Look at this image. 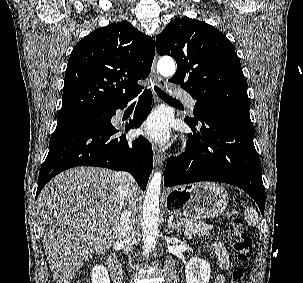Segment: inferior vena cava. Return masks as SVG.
<instances>
[{
  "mask_svg": "<svg viewBox=\"0 0 303 283\" xmlns=\"http://www.w3.org/2000/svg\"><path fill=\"white\" fill-rule=\"evenodd\" d=\"M119 195L122 205V213L118 224V238L126 244L128 252H131V241L134 234L136 215V194L133 177L128 173H122L119 184Z\"/></svg>",
  "mask_w": 303,
  "mask_h": 283,
  "instance_id": "inferior-vena-cava-1",
  "label": "inferior vena cava"
}]
</instances>
